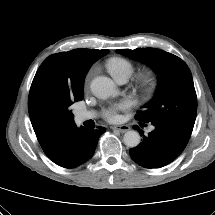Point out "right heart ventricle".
<instances>
[{"instance_id":"1","label":"right heart ventricle","mask_w":215,"mask_h":215,"mask_svg":"<svg viewBox=\"0 0 215 215\" xmlns=\"http://www.w3.org/2000/svg\"><path fill=\"white\" fill-rule=\"evenodd\" d=\"M105 67L116 81L122 79L127 81L135 70V65L131 60L119 56L109 58Z\"/></svg>"}]
</instances>
